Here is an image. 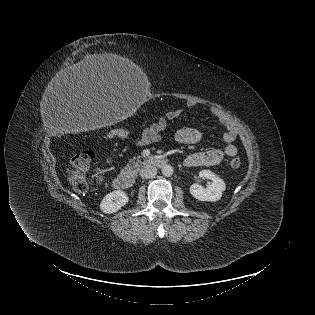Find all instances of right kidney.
<instances>
[{"label":"right kidney","mask_w":315,"mask_h":315,"mask_svg":"<svg viewBox=\"0 0 315 315\" xmlns=\"http://www.w3.org/2000/svg\"><path fill=\"white\" fill-rule=\"evenodd\" d=\"M129 198L127 194L121 190H115L108 193L100 204L102 212L111 214L120 210L125 204H127Z\"/></svg>","instance_id":"1"}]
</instances>
